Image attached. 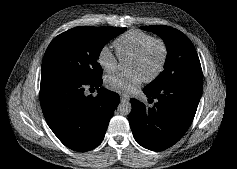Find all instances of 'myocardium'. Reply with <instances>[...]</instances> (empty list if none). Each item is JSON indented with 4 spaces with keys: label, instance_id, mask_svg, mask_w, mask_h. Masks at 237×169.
Here are the masks:
<instances>
[{
    "label": "myocardium",
    "instance_id": "1",
    "mask_svg": "<svg viewBox=\"0 0 237 169\" xmlns=\"http://www.w3.org/2000/svg\"><path fill=\"white\" fill-rule=\"evenodd\" d=\"M153 45L160 46V48L162 50V56H161L160 63L158 65V67L156 68V70L150 76L143 79V81L146 83H150V82L156 80L161 75V73L163 72V70L165 68L166 61L168 58V47H167L166 42L161 38H153L150 41H148L145 45H143L136 53H134L133 55H131L129 57V59H133V60L141 59L147 53L149 48Z\"/></svg>",
    "mask_w": 237,
    "mask_h": 169
}]
</instances>
